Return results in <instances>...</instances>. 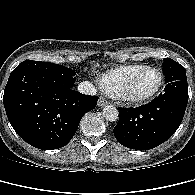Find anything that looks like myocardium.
<instances>
[{
    "label": "myocardium",
    "mask_w": 195,
    "mask_h": 195,
    "mask_svg": "<svg viewBox=\"0 0 195 195\" xmlns=\"http://www.w3.org/2000/svg\"><path fill=\"white\" fill-rule=\"evenodd\" d=\"M149 70L155 71L159 75L158 85L153 91H151L148 94L140 95V96L134 95L132 92V87H133L134 82L143 72L149 71ZM163 84H164V76H163V73L158 68L152 67V66H144L143 68L139 69L129 78L123 91L116 97L125 102L131 103V104L145 103V102L152 100L161 91Z\"/></svg>",
    "instance_id": "1"
}]
</instances>
